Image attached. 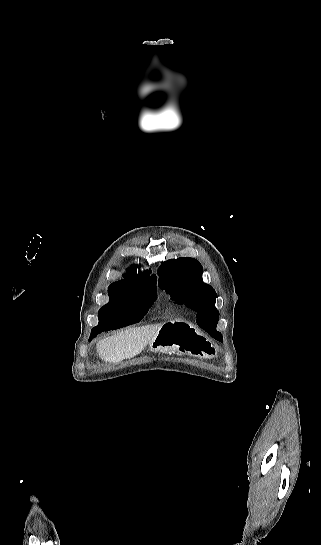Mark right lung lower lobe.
<instances>
[{
	"label": "right lung lower lobe",
	"mask_w": 321,
	"mask_h": 545,
	"mask_svg": "<svg viewBox=\"0 0 321 545\" xmlns=\"http://www.w3.org/2000/svg\"><path fill=\"white\" fill-rule=\"evenodd\" d=\"M135 311H136L135 307L127 303L103 306L99 310L100 315H102L103 317L109 320H124L125 322L117 324V325L102 327V328H99V326H96L91 330V335L89 340H92L95 336H97L99 333L103 331L118 329V328L133 324L131 322L133 320V316L136 313Z\"/></svg>",
	"instance_id": "obj_1"
}]
</instances>
